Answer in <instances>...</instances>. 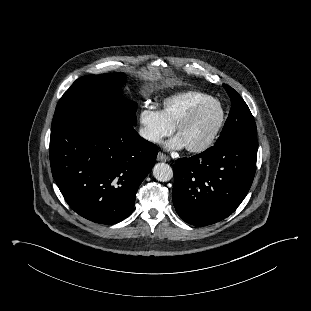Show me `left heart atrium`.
<instances>
[{
	"mask_svg": "<svg viewBox=\"0 0 311 311\" xmlns=\"http://www.w3.org/2000/svg\"><path fill=\"white\" fill-rule=\"evenodd\" d=\"M166 147L169 149L178 150L185 147V144L182 139L177 135L167 142Z\"/></svg>",
	"mask_w": 311,
	"mask_h": 311,
	"instance_id": "1",
	"label": "left heart atrium"
}]
</instances>
